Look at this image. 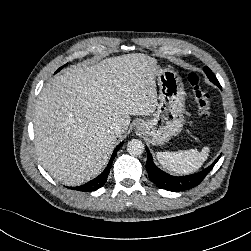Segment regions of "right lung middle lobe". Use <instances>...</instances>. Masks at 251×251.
<instances>
[{"mask_svg": "<svg viewBox=\"0 0 251 251\" xmlns=\"http://www.w3.org/2000/svg\"><path fill=\"white\" fill-rule=\"evenodd\" d=\"M62 69V67H60L57 71H56V73L59 71V70H61Z\"/></svg>", "mask_w": 251, "mask_h": 251, "instance_id": "obj_1", "label": "right lung middle lobe"}]
</instances>
